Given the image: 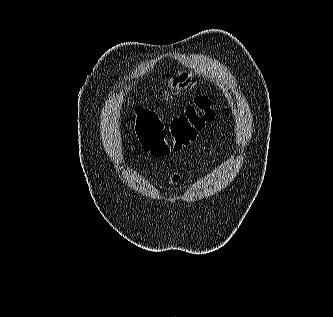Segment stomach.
Instances as JSON below:
<instances>
[{
	"label": "stomach",
	"instance_id": "stomach-1",
	"mask_svg": "<svg viewBox=\"0 0 333 317\" xmlns=\"http://www.w3.org/2000/svg\"><path fill=\"white\" fill-rule=\"evenodd\" d=\"M192 79V73L186 71L178 72L169 80L168 86L171 90L180 92L191 85Z\"/></svg>",
	"mask_w": 333,
	"mask_h": 317
}]
</instances>
